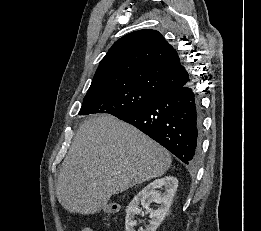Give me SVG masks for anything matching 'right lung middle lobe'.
I'll use <instances>...</instances> for the list:
<instances>
[{
	"label": "right lung middle lobe",
	"mask_w": 261,
	"mask_h": 231,
	"mask_svg": "<svg viewBox=\"0 0 261 231\" xmlns=\"http://www.w3.org/2000/svg\"><path fill=\"white\" fill-rule=\"evenodd\" d=\"M156 98L151 92L135 86L95 91L86 94L79 115L109 113L120 117L144 107Z\"/></svg>",
	"instance_id": "right-lung-middle-lobe-1"
}]
</instances>
